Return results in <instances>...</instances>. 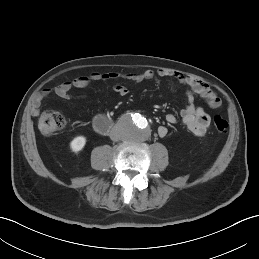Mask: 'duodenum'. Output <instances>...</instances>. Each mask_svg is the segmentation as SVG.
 <instances>
[{"label": "duodenum", "instance_id": "1", "mask_svg": "<svg viewBox=\"0 0 259 259\" xmlns=\"http://www.w3.org/2000/svg\"><path fill=\"white\" fill-rule=\"evenodd\" d=\"M112 122L106 117H98L94 123V131L98 134H106L111 130Z\"/></svg>", "mask_w": 259, "mask_h": 259}]
</instances>
